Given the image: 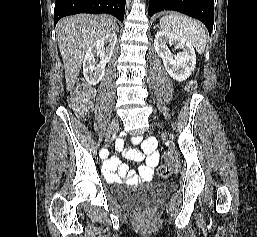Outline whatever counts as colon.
I'll use <instances>...</instances> for the list:
<instances>
[{"instance_id": "1", "label": "colon", "mask_w": 257, "mask_h": 237, "mask_svg": "<svg viewBox=\"0 0 257 237\" xmlns=\"http://www.w3.org/2000/svg\"><path fill=\"white\" fill-rule=\"evenodd\" d=\"M196 88L195 82H190L187 86L188 91ZM93 97L92 89L83 81L78 82L70 97V106L78 115H85L90 107ZM166 163L159 168V175L162 177L169 176L177 166V155L173 151L165 155Z\"/></svg>"}]
</instances>
